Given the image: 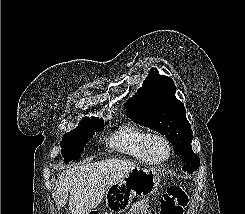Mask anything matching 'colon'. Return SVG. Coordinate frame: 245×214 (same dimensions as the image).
I'll use <instances>...</instances> for the list:
<instances>
[{
    "mask_svg": "<svg viewBox=\"0 0 245 214\" xmlns=\"http://www.w3.org/2000/svg\"><path fill=\"white\" fill-rule=\"evenodd\" d=\"M188 204L185 192L179 187L171 188L163 197L160 204V214H183V209ZM136 214H156L146 206H138Z\"/></svg>",
    "mask_w": 245,
    "mask_h": 214,
    "instance_id": "colon-1",
    "label": "colon"
}]
</instances>
